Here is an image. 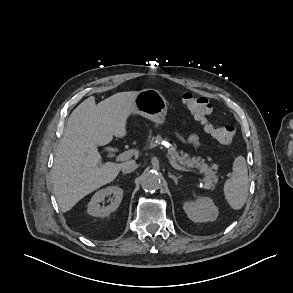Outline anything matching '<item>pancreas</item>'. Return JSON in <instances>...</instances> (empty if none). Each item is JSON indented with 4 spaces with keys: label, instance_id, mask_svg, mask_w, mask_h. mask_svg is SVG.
<instances>
[{
    "label": "pancreas",
    "instance_id": "obj_1",
    "mask_svg": "<svg viewBox=\"0 0 293 293\" xmlns=\"http://www.w3.org/2000/svg\"><path fill=\"white\" fill-rule=\"evenodd\" d=\"M155 140H161V136L157 135L155 137L151 134L148 136V141L150 143H154ZM168 155L174 162L178 163L184 168L198 169L199 172L204 176L202 181L204 182L206 189L213 190L215 188V183L218 181V176L216 174L218 165H208L206 163V160L203 158L196 156L190 157L187 153H184L183 151H177L176 145L172 146L171 149L168 150Z\"/></svg>",
    "mask_w": 293,
    "mask_h": 293
}]
</instances>
